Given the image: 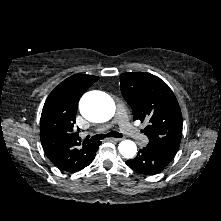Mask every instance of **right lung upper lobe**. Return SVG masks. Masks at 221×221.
Returning <instances> with one entry per match:
<instances>
[{"label": "right lung upper lobe", "instance_id": "right-lung-upper-lobe-1", "mask_svg": "<svg viewBox=\"0 0 221 221\" xmlns=\"http://www.w3.org/2000/svg\"><path fill=\"white\" fill-rule=\"evenodd\" d=\"M98 79L75 74L60 83L44 104L40 121L42 147L48 159L63 171L83 169L96 150L98 142L82 143L74 124L81 96Z\"/></svg>", "mask_w": 221, "mask_h": 221}]
</instances>
